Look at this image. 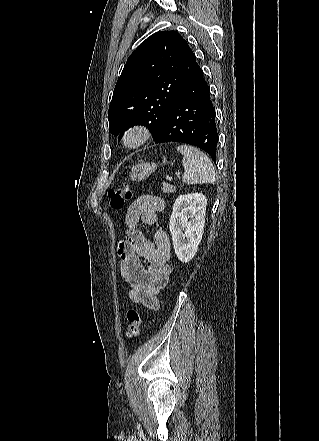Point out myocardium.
I'll return each mask as SVG.
<instances>
[{
	"instance_id": "f54148a6",
	"label": "myocardium",
	"mask_w": 319,
	"mask_h": 441,
	"mask_svg": "<svg viewBox=\"0 0 319 441\" xmlns=\"http://www.w3.org/2000/svg\"><path fill=\"white\" fill-rule=\"evenodd\" d=\"M150 138L149 129L143 124H134L128 127L121 138L124 147L130 150L143 146Z\"/></svg>"
}]
</instances>
